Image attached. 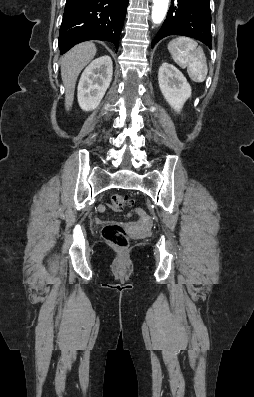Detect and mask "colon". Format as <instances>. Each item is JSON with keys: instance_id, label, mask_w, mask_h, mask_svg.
<instances>
[{"instance_id": "5ec220e1", "label": "colon", "mask_w": 254, "mask_h": 397, "mask_svg": "<svg viewBox=\"0 0 254 397\" xmlns=\"http://www.w3.org/2000/svg\"><path fill=\"white\" fill-rule=\"evenodd\" d=\"M132 204L133 200L129 196L120 194H113L111 196V207L116 211L132 206ZM103 236L110 245L116 248L126 249L130 245V237L121 225H106L103 228Z\"/></svg>"}]
</instances>
